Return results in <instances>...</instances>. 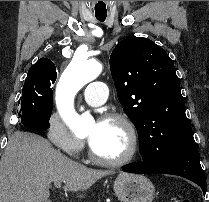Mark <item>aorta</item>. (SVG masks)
<instances>
[{"label": "aorta", "instance_id": "1", "mask_svg": "<svg viewBox=\"0 0 209 202\" xmlns=\"http://www.w3.org/2000/svg\"><path fill=\"white\" fill-rule=\"evenodd\" d=\"M102 68L100 62L76 53L58 82L57 107L63 121L75 134L85 133L93 124V118L89 114L79 115L75 111L74 96L85 84L96 79Z\"/></svg>", "mask_w": 209, "mask_h": 202}]
</instances>
